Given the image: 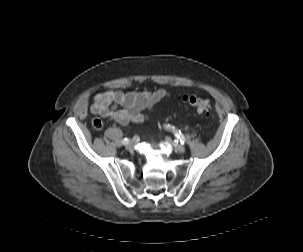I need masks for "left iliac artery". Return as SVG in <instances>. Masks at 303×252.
<instances>
[{"label": "left iliac artery", "mask_w": 303, "mask_h": 252, "mask_svg": "<svg viewBox=\"0 0 303 252\" xmlns=\"http://www.w3.org/2000/svg\"><path fill=\"white\" fill-rule=\"evenodd\" d=\"M175 136H176V138L177 139H179L180 140V143L181 144H184L185 143V138H184V136H183V134L181 133V131L179 130V131H175Z\"/></svg>", "instance_id": "obj_1"}]
</instances>
